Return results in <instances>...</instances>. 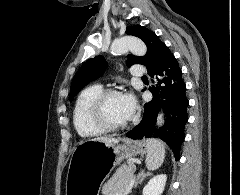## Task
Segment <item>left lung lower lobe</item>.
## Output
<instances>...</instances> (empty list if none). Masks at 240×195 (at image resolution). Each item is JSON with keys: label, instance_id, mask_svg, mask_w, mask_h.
I'll return each mask as SVG.
<instances>
[{"label": "left lung lower lobe", "instance_id": "0a47b994", "mask_svg": "<svg viewBox=\"0 0 240 195\" xmlns=\"http://www.w3.org/2000/svg\"><path fill=\"white\" fill-rule=\"evenodd\" d=\"M156 78V84L149 90L153 99L144 105L141 122L126 136L133 139L156 137L166 142L172 149L175 159L179 160V151L184 141V129L188 121L186 84L176 58L171 53L157 69L149 73ZM152 82H154L152 80ZM161 109L165 110V122L157 128L156 118Z\"/></svg>", "mask_w": 240, "mask_h": 195}]
</instances>
